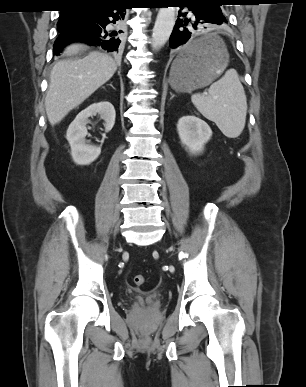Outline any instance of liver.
<instances>
[{
  "label": "liver",
  "mask_w": 306,
  "mask_h": 387,
  "mask_svg": "<svg viewBox=\"0 0 306 387\" xmlns=\"http://www.w3.org/2000/svg\"><path fill=\"white\" fill-rule=\"evenodd\" d=\"M86 47L75 43L64 54L76 55ZM117 70L108 54L91 51L83 58L58 61L51 73L45 108L51 125L59 123L71 110L79 106L99 87L109 81Z\"/></svg>",
  "instance_id": "obj_1"
}]
</instances>
